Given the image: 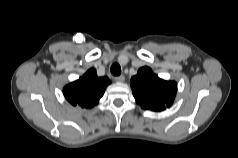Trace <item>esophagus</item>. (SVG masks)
<instances>
[{
  "instance_id": "obj_1",
  "label": "esophagus",
  "mask_w": 238,
  "mask_h": 158,
  "mask_svg": "<svg viewBox=\"0 0 238 158\" xmlns=\"http://www.w3.org/2000/svg\"><path fill=\"white\" fill-rule=\"evenodd\" d=\"M114 80L116 82H124L125 81V77L123 75H120V76L115 77Z\"/></svg>"
}]
</instances>
